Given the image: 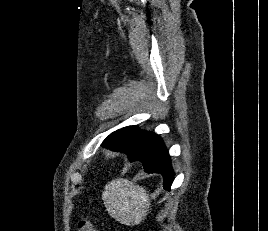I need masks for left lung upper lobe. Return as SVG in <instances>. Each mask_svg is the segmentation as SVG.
<instances>
[{
    "instance_id": "obj_1",
    "label": "left lung upper lobe",
    "mask_w": 268,
    "mask_h": 231,
    "mask_svg": "<svg viewBox=\"0 0 268 231\" xmlns=\"http://www.w3.org/2000/svg\"><path fill=\"white\" fill-rule=\"evenodd\" d=\"M154 136V133L142 131L133 126H128L113 132L105 139L104 142H106L109 149L122 151L130 146L137 148L142 147Z\"/></svg>"
}]
</instances>
